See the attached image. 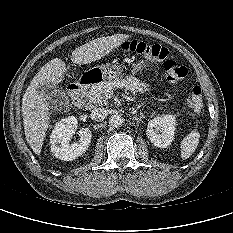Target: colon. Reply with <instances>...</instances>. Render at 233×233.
Instances as JSON below:
<instances>
[{
    "instance_id": "obj_1",
    "label": "colon",
    "mask_w": 233,
    "mask_h": 233,
    "mask_svg": "<svg viewBox=\"0 0 233 233\" xmlns=\"http://www.w3.org/2000/svg\"><path fill=\"white\" fill-rule=\"evenodd\" d=\"M124 49L163 63L164 75L167 81L176 83L188 76V69L169 57L168 50L158 44H147L133 40L124 44ZM188 106L194 112L203 108V92L200 86L195 85L188 98Z\"/></svg>"
}]
</instances>
